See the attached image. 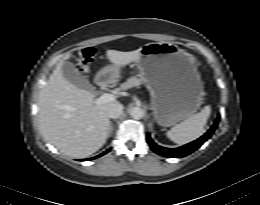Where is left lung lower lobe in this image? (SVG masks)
<instances>
[{
	"mask_svg": "<svg viewBox=\"0 0 260 205\" xmlns=\"http://www.w3.org/2000/svg\"><path fill=\"white\" fill-rule=\"evenodd\" d=\"M219 118L220 117L218 116V119L214 122L213 126L204 136L179 148L170 149L161 147L152 141L149 134H147L146 136L147 142L149 143L151 149L159 155L169 158H181L197 150L208 138H210L211 134L214 132L218 125Z\"/></svg>",
	"mask_w": 260,
	"mask_h": 205,
	"instance_id": "left-lung-lower-lobe-1",
	"label": "left lung lower lobe"
}]
</instances>
